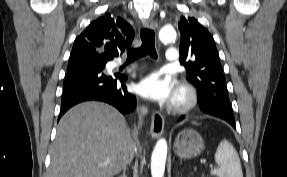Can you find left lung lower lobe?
<instances>
[{"instance_id":"0a47b994","label":"left lung lower lobe","mask_w":287,"mask_h":177,"mask_svg":"<svg viewBox=\"0 0 287 177\" xmlns=\"http://www.w3.org/2000/svg\"><path fill=\"white\" fill-rule=\"evenodd\" d=\"M228 101L229 99L226 96L218 94L217 96L214 95V99L207 107L200 105V108L207 114L226 120L235 128L234 116L227 109ZM183 118L184 117H181L180 120Z\"/></svg>"}]
</instances>
